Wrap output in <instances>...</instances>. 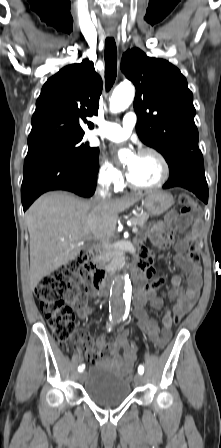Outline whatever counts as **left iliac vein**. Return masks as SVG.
<instances>
[{"label":"left iliac vein","mask_w":221,"mask_h":448,"mask_svg":"<svg viewBox=\"0 0 221 448\" xmlns=\"http://www.w3.org/2000/svg\"><path fill=\"white\" fill-rule=\"evenodd\" d=\"M143 382V377L141 374H136L134 377V383L135 385H140Z\"/></svg>","instance_id":"1"}]
</instances>
